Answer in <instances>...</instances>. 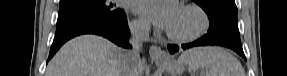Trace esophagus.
Segmentation results:
<instances>
[{
  "mask_svg": "<svg viewBox=\"0 0 287 76\" xmlns=\"http://www.w3.org/2000/svg\"><path fill=\"white\" fill-rule=\"evenodd\" d=\"M151 59L156 62H163L168 59L167 53L157 45H152L149 49Z\"/></svg>",
  "mask_w": 287,
  "mask_h": 76,
  "instance_id": "esophagus-1",
  "label": "esophagus"
}]
</instances>
